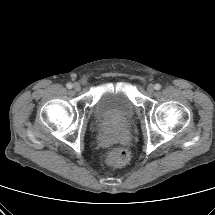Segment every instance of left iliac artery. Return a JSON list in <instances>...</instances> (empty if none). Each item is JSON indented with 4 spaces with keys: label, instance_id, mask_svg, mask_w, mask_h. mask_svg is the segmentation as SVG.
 <instances>
[{
    "label": "left iliac artery",
    "instance_id": "1",
    "mask_svg": "<svg viewBox=\"0 0 215 215\" xmlns=\"http://www.w3.org/2000/svg\"><path fill=\"white\" fill-rule=\"evenodd\" d=\"M154 88H155L156 90H160V89H161V85L157 83V84H155Z\"/></svg>",
    "mask_w": 215,
    "mask_h": 215
}]
</instances>
